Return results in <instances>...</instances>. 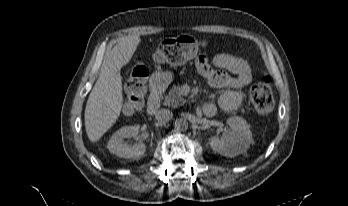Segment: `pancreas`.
<instances>
[{"label": "pancreas", "mask_w": 348, "mask_h": 206, "mask_svg": "<svg viewBox=\"0 0 348 206\" xmlns=\"http://www.w3.org/2000/svg\"><path fill=\"white\" fill-rule=\"evenodd\" d=\"M185 100L182 98L181 88L179 86L173 87L164 98V105L177 108L184 104Z\"/></svg>", "instance_id": "1"}]
</instances>
